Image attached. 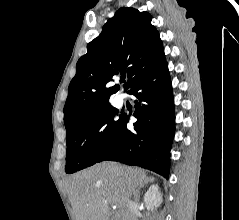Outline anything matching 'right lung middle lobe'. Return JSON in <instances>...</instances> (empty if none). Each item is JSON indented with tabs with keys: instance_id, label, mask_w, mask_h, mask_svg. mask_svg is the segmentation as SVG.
<instances>
[{
	"instance_id": "dd1d6c3e",
	"label": "right lung middle lobe",
	"mask_w": 239,
	"mask_h": 220,
	"mask_svg": "<svg viewBox=\"0 0 239 220\" xmlns=\"http://www.w3.org/2000/svg\"><path fill=\"white\" fill-rule=\"evenodd\" d=\"M111 105L93 110L67 130L66 173H74L97 162L111 143L122 119Z\"/></svg>"
}]
</instances>
